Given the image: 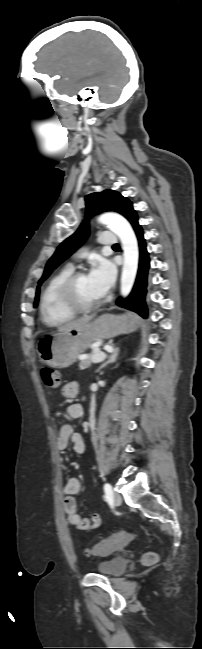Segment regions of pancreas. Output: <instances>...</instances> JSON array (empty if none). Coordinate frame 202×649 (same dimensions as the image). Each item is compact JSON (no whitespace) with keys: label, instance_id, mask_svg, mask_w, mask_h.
<instances>
[{"label":"pancreas","instance_id":"cf45deb5","mask_svg":"<svg viewBox=\"0 0 202 649\" xmlns=\"http://www.w3.org/2000/svg\"><path fill=\"white\" fill-rule=\"evenodd\" d=\"M95 353H104V352L94 349V354ZM92 356L93 355L89 356L88 358H86V359H84V360H82L80 362V364H79V369L80 370H84V369L89 368L91 366V364H92Z\"/></svg>","mask_w":202,"mask_h":649}]
</instances>
